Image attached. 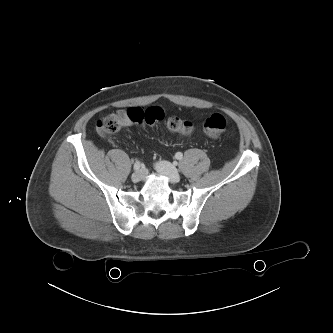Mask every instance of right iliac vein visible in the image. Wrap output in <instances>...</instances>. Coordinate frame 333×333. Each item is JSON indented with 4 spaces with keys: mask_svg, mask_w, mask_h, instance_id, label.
Returning <instances> with one entry per match:
<instances>
[{
    "mask_svg": "<svg viewBox=\"0 0 333 333\" xmlns=\"http://www.w3.org/2000/svg\"><path fill=\"white\" fill-rule=\"evenodd\" d=\"M144 178V172L142 170L136 171L132 174L131 179L133 182H139Z\"/></svg>",
    "mask_w": 333,
    "mask_h": 333,
    "instance_id": "obj_1",
    "label": "right iliac vein"
}]
</instances>
